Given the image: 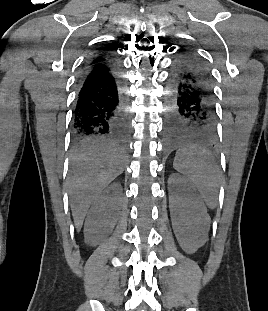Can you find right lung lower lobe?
Listing matches in <instances>:
<instances>
[{
    "label": "right lung lower lobe",
    "instance_id": "98d812e1",
    "mask_svg": "<svg viewBox=\"0 0 268 311\" xmlns=\"http://www.w3.org/2000/svg\"><path fill=\"white\" fill-rule=\"evenodd\" d=\"M78 94L72 117L76 140L105 136L124 143L129 117L120 66L114 57L86 63L78 81Z\"/></svg>",
    "mask_w": 268,
    "mask_h": 311
}]
</instances>
